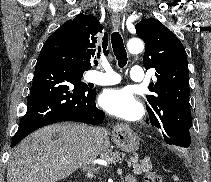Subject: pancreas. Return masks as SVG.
Listing matches in <instances>:
<instances>
[{"label":"pancreas","mask_w":211,"mask_h":182,"mask_svg":"<svg viewBox=\"0 0 211 182\" xmlns=\"http://www.w3.org/2000/svg\"><path fill=\"white\" fill-rule=\"evenodd\" d=\"M125 157L124 153L119 151L108 150L102 154V159L106 160L108 163H120ZM128 167H133V172L136 175L142 174V172L148 173L152 169V165L148 160H143L139 162L138 156L134 155L130 157L127 161Z\"/></svg>","instance_id":"cf45deb5"}]
</instances>
